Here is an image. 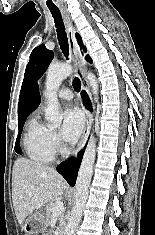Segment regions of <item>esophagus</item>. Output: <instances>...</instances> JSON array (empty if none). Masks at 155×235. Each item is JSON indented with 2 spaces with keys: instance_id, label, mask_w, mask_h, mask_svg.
<instances>
[{
  "instance_id": "1",
  "label": "esophagus",
  "mask_w": 155,
  "mask_h": 235,
  "mask_svg": "<svg viewBox=\"0 0 155 235\" xmlns=\"http://www.w3.org/2000/svg\"><path fill=\"white\" fill-rule=\"evenodd\" d=\"M62 15H63L64 22L66 25L69 48H70L72 59H73L74 65H75L76 75L81 81L82 90L89 91V87L87 86V84L83 80V70L85 67V63H84L83 58L79 52L77 41L75 38L76 29L73 26L66 10L62 9ZM84 113H85L86 120H85V125H84L83 131H82L81 139H80L78 147L75 151L76 155L83 148V146L86 142V139L88 137L89 130H90L91 123H92L91 113L89 112V110L85 106H84Z\"/></svg>"
}]
</instances>
